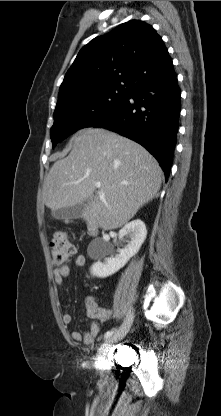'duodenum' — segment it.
I'll list each match as a JSON object with an SVG mask.
<instances>
[{"label":"duodenum","instance_id":"1","mask_svg":"<svg viewBox=\"0 0 221 416\" xmlns=\"http://www.w3.org/2000/svg\"><path fill=\"white\" fill-rule=\"evenodd\" d=\"M88 230H89L90 234L95 235L98 232V227H97L96 223L90 222L89 226H88Z\"/></svg>","mask_w":221,"mask_h":416}]
</instances>
